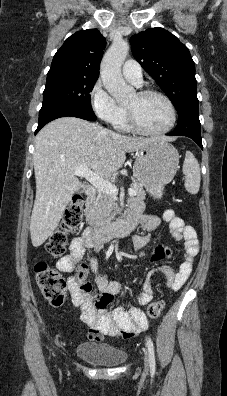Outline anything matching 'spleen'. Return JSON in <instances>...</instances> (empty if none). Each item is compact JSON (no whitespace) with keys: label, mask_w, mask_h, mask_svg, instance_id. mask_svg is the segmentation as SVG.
<instances>
[{"label":"spleen","mask_w":227,"mask_h":396,"mask_svg":"<svg viewBox=\"0 0 227 396\" xmlns=\"http://www.w3.org/2000/svg\"><path fill=\"white\" fill-rule=\"evenodd\" d=\"M183 174L185 175V188L190 194H197L200 188V166L190 151L185 154V160L183 164Z\"/></svg>","instance_id":"spleen-1"}]
</instances>
